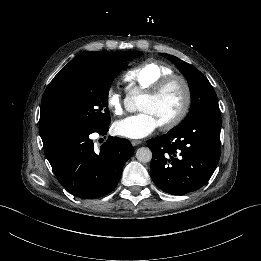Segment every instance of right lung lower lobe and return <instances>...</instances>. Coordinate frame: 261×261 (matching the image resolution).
I'll return each instance as SVG.
<instances>
[{"label":"right lung lower lobe","mask_w":261,"mask_h":261,"mask_svg":"<svg viewBox=\"0 0 261 261\" xmlns=\"http://www.w3.org/2000/svg\"><path fill=\"white\" fill-rule=\"evenodd\" d=\"M108 126L95 132L107 134ZM93 132L68 131L44 147L60 184L73 196L94 199L110 193L119 182L122 169L134 149L124 138L109 136L94 151ZM106 138V137H105Z\"/></svg>","instance_id":"obj_1"}]
</instances>
